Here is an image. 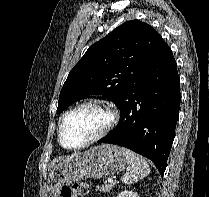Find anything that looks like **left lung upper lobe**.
<instances>
[{
  "mask_svg": "<svg viewBox=\"0 0 209 197\" xmlns=\"http://www.w3.org/2000/svg\"><path fill=\"white\" fill-rule=\"evenodd\" d=\"M166 43L150 25L127 21L94 43L70 71L57 108L86 95H104L118 107Z\"/></svg>",
  "mask_w": 209,
  "mask_h": 197,
  "instance_id": "obj_1",
  "label": "left lung upper lobe"
}]
</instances>
